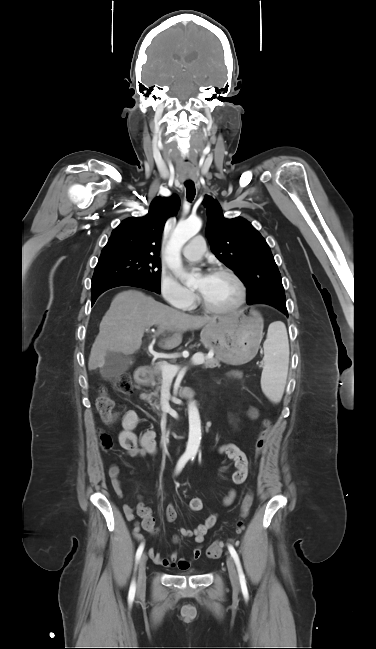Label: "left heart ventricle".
Instances as JSON below:
<instances>
[{
  "label": "left heart ventricle",
  "mask_w": 376,
  "mask_h": 649,
  "mask_svg": "<svg viewBox=\"0 0 376 649\" xmlns=\"http://www.w3.org/2000/svg\"><path fill=\"white\" fill-rule=\"evenodd\" d=\"M195 288L199 291L209 305L216 308H225L236 302L239 290L236 283L226 274H210L206 279L200 277Z\"/></svg>",
  "instance_id": "1"
}]
</instances>
